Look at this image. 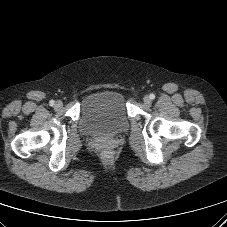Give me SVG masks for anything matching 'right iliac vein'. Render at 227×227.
Returning a JSON list of instances; mask_svg holds the SVG:
<instances>
[{"mask_svg":"<svg viewBox=\"0 0 227 227\" xmlns=\"http://www.w3.org/2000/svg\"><path fill=\"white\" fill-rule=\"evenodd\" d=\"M62 106H63L62 101H57V102L55 103V108H56V109H60Z\"/></svg>","mask_w":227,"mask_h":227,"instance_id":"obj_1","label":"right iliac vein"}]
</instances>
